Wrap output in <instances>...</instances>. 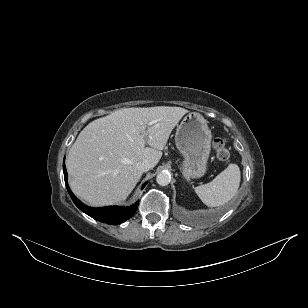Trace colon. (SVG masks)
<instances>
[{
  "label": "colon",
  "mask_w": 308,
  "mask_h": 308,
  "mask_svg": "<svg viewBox=\"0 0 308 308\" xmlns=\"http://www.w3.org/2000/svg\"><path fill=\"white\" fill-rule=\"evenodd\" d=\"M213 148L218 159L222 163L227 164L230 161V151L226 147V143L222 138H216L213 140Z\"/></svg>",
  "instance_id": "obj_1"
}]
</instances>
